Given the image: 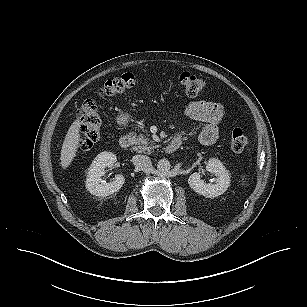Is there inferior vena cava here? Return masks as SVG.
Listing matches in <instances>:
<instances>
[{"label": "inferior vena cava", "mask_w": 307, "mask_h": 307, "mask_svg": "<svg viewBox=\"0 0 307 307\" xmlns=\"http://www.w3.org/2000/svg\"><path fill=\"white\" fill-rule=\"evenodd\" d=\"M133 163L144 172L149 171L152 167L151 159L146 155H135L133 157Z\"/></svg>", "instance_id": "1"}]
</instances>
